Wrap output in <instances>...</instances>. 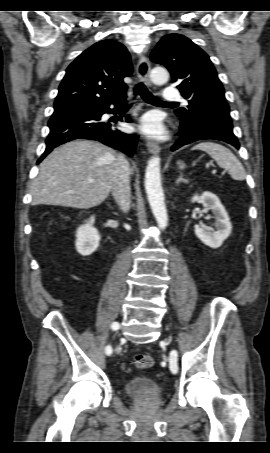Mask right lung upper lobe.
<instances>
[{
	"instance_id": "right-lung-upper-lobe-1",
	"label": "right lung upper lobe",
	"mask_w": 270,
	"mask_h": 453,
	"mask_svg": "<svg viewBox=\"0 0 270 453\" xmlns=\"http://www.w3.org/2000/svg\"><path fill=\"white\" fill-rule=\"evenodd\" d=\"M131 73L127 49L114 40L99 41L67 68L54 109L87 107L117 100L126 95L127 86L123 78Z\"/></svg>"
}]
</instances>
